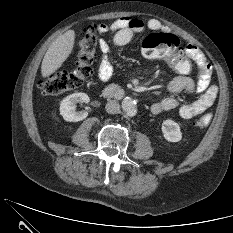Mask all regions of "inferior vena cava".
I'll return each instance as SVG.
<instances>
[{"label":"inferior vena cava","mask_w":233,"mask_h":233,"mask_svg":"<svg viewBox=\"0 0 233 233\" xmlns=\"http://www.w3.org/2000/svg\"><path fill=\"white\" fill-rule=\"evenodd\" d=\"M105 109L107 113L114 114L120 110V105L116 100H110L107 102Z\"/></svg>","instance_id":"obj_1"}]
</instances>
